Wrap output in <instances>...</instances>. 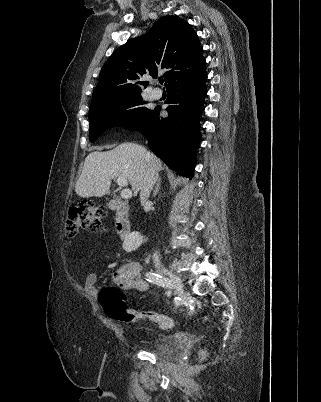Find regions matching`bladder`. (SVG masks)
<instances>
[{
    "mask_svg": "<svg viewBox=\"0 0 321 402\" xmlns=\"http://www.w3.org/2000/svg\"><path fill=\"white\" fill-rule=\"evenodd\" d=\"M174 351H175V347L167 343L160 349L159 352H160V354H163V355H171V354H173Z\"/></svg>",
    "mask_w": 321,
    "mask_h": 402,
    "instance_id": "1",
    "label": "bladder"
}]
</instances>
